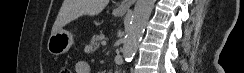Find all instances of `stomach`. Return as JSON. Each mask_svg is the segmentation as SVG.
<instances>
[{
    "label": "stomach",
    "mask_w": 244,
    "mask_h": 73,
    "mask_svg": "<svg viewBox=\"0 0 244 73\" xmlns=\"http://www.w3.org/2000/svg\"><path fill=\"white\" fill-rule=\"evenodd\" d=\"M125 11H114L113 14L116 16H121ZM74 43L73 35L61 29L60 31L51 34L48 39L47 49L52 55H62L66 53Z\"/></svg>",
    "instance_id": "obj_1"
}]
</instances>
